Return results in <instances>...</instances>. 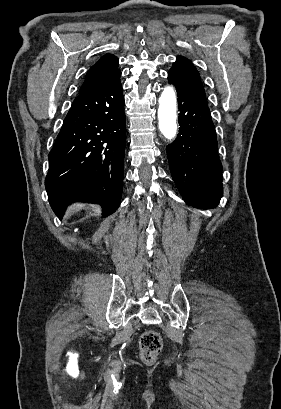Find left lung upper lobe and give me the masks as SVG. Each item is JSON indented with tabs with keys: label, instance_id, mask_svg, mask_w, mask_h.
Listing matches in <instances>:
<instances>
[{
	"label": "left lung upper lobe",
	"instance_id": "left-lung-upper-lobe-1",
	"mask_svg": "<svg viewBox=\"0 0 281 409\" xmlns=\"http://www.w3.org/2000/svg\"><path fill=\"white\" fill-rule=\"evenodd\" d=\"M170 70L178 73L180 76L186 78L188 81L204 91L200 76L196 68L188 59L182 56L177 57L176 62L173 63V66Z\"/></svg>",
	"mask_w": 281,
	"mask_h": 409
}]
</instances>
